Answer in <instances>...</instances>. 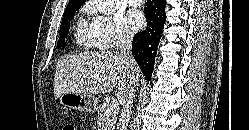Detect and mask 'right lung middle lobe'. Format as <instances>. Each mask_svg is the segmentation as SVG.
I'll return each mask as SVG.
<instances>
[{
    "mask_svg": "<svg viewBox=\"0 0 249 130\" xmlns=\"http://www.w3.org/2000/svg\"><path fill=\"white\" fill-rule=\"evenodd\" d=\"M80 5L77 4H70L67 5L65 11H64V15H63V19H62V23L60 26V31H59V40L57 43V47L56 48H64L66 43H65V38L67 36V33L69 31L70 28V20L74 17L75 12L80 8Z\"/></svg>",
    "mask_w": 249,
    "mask_h": 130,
    "instance_id": "dd1d6c3e",
    "label": "right lung middle lobe"
}]
</instances>
